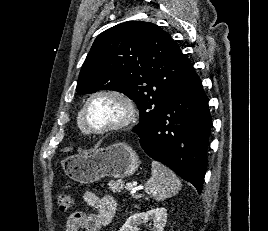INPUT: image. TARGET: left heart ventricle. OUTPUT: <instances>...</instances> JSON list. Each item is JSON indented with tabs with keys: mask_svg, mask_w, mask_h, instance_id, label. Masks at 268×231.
I'll list each match as a JSON object with an SVG mask.
<instances>
[{
	"mask_svg": "<svg viewBox=\"0 0 268 231\" xmlns=\"http://www.w3.org/2000/svg\"><path fill=\"white\" fill-rule=\"evenodd\" d=\"M122 105L111 97L94 99L87 109V119L94 128H101L115 123L122 118Z\"/></svg>",
	"mask_w": 268,
	"mask_h": 231,
	"instance_id": "obj_1",
	"label": "left heart ventricle"
}]
</instances>
